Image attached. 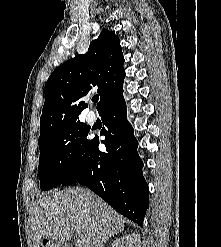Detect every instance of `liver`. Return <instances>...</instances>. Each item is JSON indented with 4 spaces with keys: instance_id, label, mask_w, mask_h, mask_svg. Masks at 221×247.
I'll use <instances>...</instances> for the list:
<instances>
[{
    "instance_id": "6515ba94",
    "label": "liver",
    "mask_w": 221,
    "mask_h": 247,
    "mask_svg": "<svg viewBox=\"0 0 221 247\" xmlns=\"http://www.w3.org/2000/svg\"><path fill=\"white\" fill-rule=\"evenodd\" d=\"M125 219L87 189H67L42 196L30 217L32 247L43 238L69 241L78 247H104L113 235L123 232Z\"/></svg>"
}]
</instances>
